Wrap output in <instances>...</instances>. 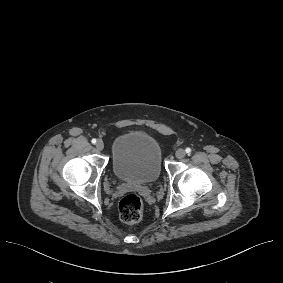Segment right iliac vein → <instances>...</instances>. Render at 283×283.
Masks as SVG:
<instances>
[{
  "label": "right iliac vein",
  "instance_id": "1",
  "mask_svg": "<svg viewBox=\"0 0 283 283\" xmlns=\"http://www.w3.org/2000/svg\"><path fill=\"white\" fill-rule=\"evenodd\" d=\"M96 148H97V150L102 151V150L104 149V144H103V142H102V141H98V142L96 143Z\"/></svg>",
  "mask_w": 283,
  "mask_h": 283
}]
</instances>
